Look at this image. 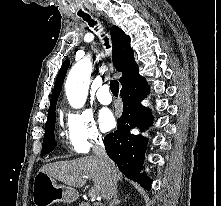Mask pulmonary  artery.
Masks as SVG:
<instances>
[{
  "label": "pulmonary artery",
  "mask_w": 221,
  "mask_h": 206,
  "mask_svg": "<svg viewBox=\"0 0 221 206\" xmlns=\"http://www.w3.org/2000/svg\"><path fill=\"white\" fill-rule=\"evenodd\" d=\"M96 96L100 103L105 104V105L110 104L112 101V96L110 93V86L107 84L100 86V88L97 91Z\"/></svg>",
  "instance_id": "obj_1"
}]
</instances>
